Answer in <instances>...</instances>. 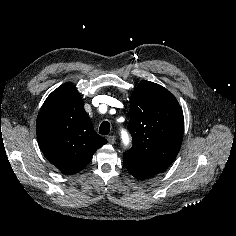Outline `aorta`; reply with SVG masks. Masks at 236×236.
I'll use <instances>...</instances> for the list:
<instances>
[{
    "mask_svg": "<svg viewBox=\"0 0 236 236\" xmlns=\"http://www.w3.org/2000/svg\"><path fill=\"white\" fill-rule=\"evenodd\" d=\"M121 138H122V142H123L124 146H128L130 140H129V135L126 131L121 132Z\"/></svg>",
    "mask_w": 236,
    "mask_h": 236,
    "instance_id": "obj_1",
    "label": "aorta"
}]
</instances>
